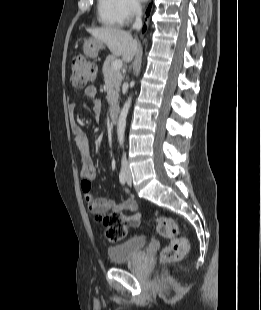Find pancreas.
I'll return each instance as SVG.
<instances>
[{"label":"pancreas","mask_w":261,"mask_h":310,"mask_svg":"<svg viewBox=\"0 0 261 310\" xmlns=\"http://www.w3.org/2000/svg\"><path fill=\"white\" fill-rule=\"evenodd\" d=\"M116 60L114 56H108L104 62L102 72L104 75L106 99L109 104H114L119 98V88L123 80L120 70L112 69V64Z\"/></svg>","instance_id":"1"}]
</instances>
